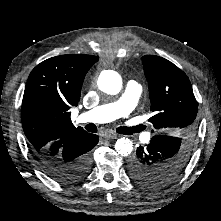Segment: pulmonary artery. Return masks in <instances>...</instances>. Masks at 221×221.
<instances>
[{"label": "pulmonary artery", "mask_w": 221, "mask_h": 221, "mask_svg": "<svg viewBox=\"0 0 221 221\" xmlns=\"http://www.w3.org/2000/svg\"><path fill=\"white\" fill-rule=\"evenodd\" d=\"M142 88L134 80L127 82L124 92L114 102L103 104L78 116L79 122L106 123L126 117L135 108Z\"/></svg>", "instance_id": "e3ab8cb5"}]
</instances>
